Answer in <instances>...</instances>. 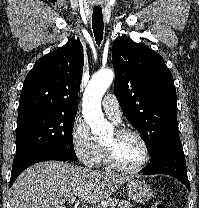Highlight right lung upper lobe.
<instances>
[{
    "label": "right lung upper lobe",
    "mask_w": 199,
    "mask_h": 208,
    "mask_svg": "<svg viewBox=\"0 0 199 208\" xmlns=\"http://www.w3.org/2000/svg\"><path fill=\"white\" fill-rule=\"evenodd\" d=\"M83 65L79 40H70L37 60L24 80L18 112L34 109L77 112Z\"/></svg>",
    "instance_id": "cb5924a9"
}]
</instances>
